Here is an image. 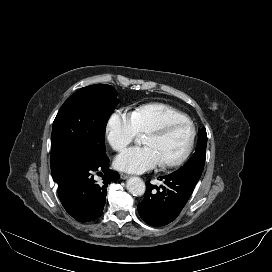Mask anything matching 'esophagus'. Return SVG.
<instances>
[{"label":"esophagus","mask_w":272,"mask_h":272,"mask_svg":"<svg viewBox=\"0 0 272 272\" xmlns=\"http://www.w3.org/2000/svg\"><path fill=\"white\" fill-rule=\"evenodd\" d=\"M129 177V175H127V174H124V173H120V178L121 179H127Z\"/></svg>","instance_id":"obj_1"}]
</instances>
